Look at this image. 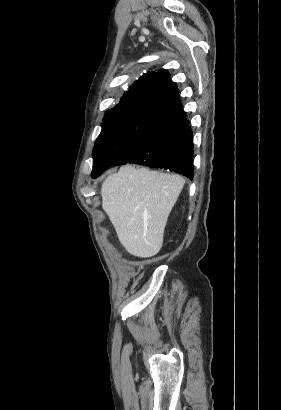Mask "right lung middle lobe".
<instances>
[{
  "label": "right lung middle lobe",
  "instance_id": "dd1d6c3e",
  "mask_svg": "<svg viewBox=\"0 0 281 410\" xmlns=\"http://www.w3.org/2000/svg\"><path fill=\"white\" fill-rule=\"evenodd\" d=\"M167 112L166 109L144 104L119 105L108 110L93 149L92 178L111 166Z\"/></svg>",
  "mask_w": 281,
  "mask_h": 410
}]
</instances>
